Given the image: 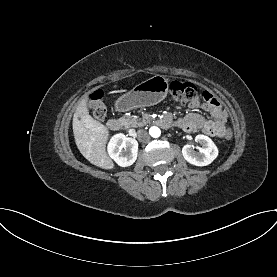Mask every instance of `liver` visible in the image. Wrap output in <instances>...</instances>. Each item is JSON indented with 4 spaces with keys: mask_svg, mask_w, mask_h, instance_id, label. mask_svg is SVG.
I'll list each match as a JSON object with an SVG mask.
<instances>
[{
    "mask_svg": "<svg viewBox=\"0 0 277 277\" xmlns=\"http://www.w3.org/2000/svg\"><path fill=\"white\" fill-rule=\"evenodd\" d=\"M122 91L124 90L115 92ZM87 99L85 97L80 101L73 116V134L77 148L93 165L102 169H113L114 163L106 152L109 131L89 114Z\"/></svg>",
    "mask_w": 277,
    "mask_h": 277,
    "instance_id": "1",
    "label": "liver"
}]
</instances>
